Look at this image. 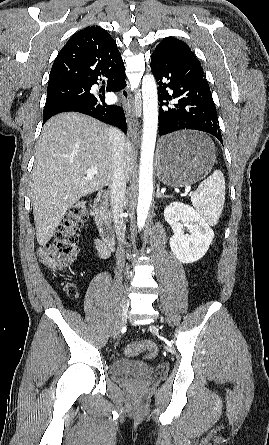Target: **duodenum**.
<instances>
[{"instance_id": "obj_1", "label": "duodenum", "mask_w": 269, "mask_h": 445, "mask_svg": "<svg viewBox=\"0 0 269 445\" xmlns=\"http://www.w3.org/2000/svg\"><path fill=\"white\" fill-rule=\"evenodd\" d=\"M108 199L107 191L102 190L97 193L93 204V215L104 245L109 250H114L116 239L106 212Z\"/></svg>"}]
</instances>
